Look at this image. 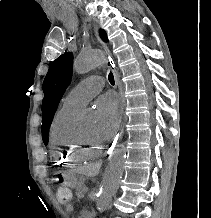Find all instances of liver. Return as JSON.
<instances>
[{"instance_id": "6515ba94", "label": "liver", "mask_w": 211, "mask_h": 218, "mask_svg": "<svg viewBox=\"0 0 211 218\" xmlns=\"http://www.w3.org/2000/svg\"><path fill=\"white\" fill-rule=\"evenodd\" d=\"M100 168L101 164H90V166H87V168H83V170H81V174H85V176H97Z\"/></svg>"}]
</instances>
